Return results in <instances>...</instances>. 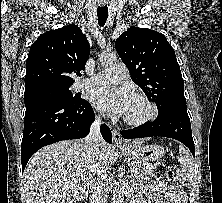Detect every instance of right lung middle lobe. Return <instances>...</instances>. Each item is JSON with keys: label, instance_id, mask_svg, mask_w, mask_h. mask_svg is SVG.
<instances>
[{"label": "right lung middle lobe", "instance_id": "right-lung-middle-lobe-1", "mask_svg": "<svg viewBox=\"0 0 222 203\" xmlns=\"http://www.w3.org/2000/svg\"><path fill=\"white\" fill-rule=\"evenodd\" d=\"M40 101H60L76 104L84 101L79 94H72L70 86L50 87L24 93L25 106Z\"/></svg>", "mask_w": 222, "mask_h": 203}]
</instances>
